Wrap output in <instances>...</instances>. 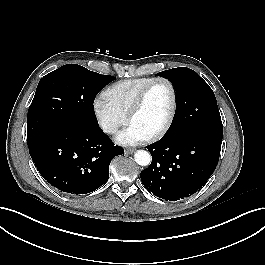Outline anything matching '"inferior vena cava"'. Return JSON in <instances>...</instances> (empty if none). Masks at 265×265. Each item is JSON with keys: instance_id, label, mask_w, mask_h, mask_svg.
I'll return each instance as SVG.
<instances>
[{"instance_id": "602c4592", "label": "inferior vena cava", "mask_w": 265, "mask_h": 265, "mask_svg": "<svg viewBox=\"0 0 265 265\" xmlns=\"http://www.w3.org/2000/svg\"><path fill=\"white\" fill-rule=\"evenodd\" d=\"M104 131H105L106 133H116V131H117V127H116V126H112V125H110V126H106V127L104 128Z\"/></svg>"}]
</instances>
